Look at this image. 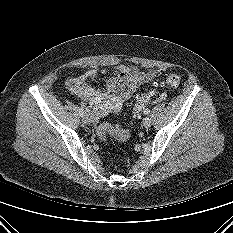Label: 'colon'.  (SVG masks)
Instances as JSON below:
<instances>
[{"instance_id":"1","label":"colon","mask_w":233,"mask_h":233,"mask_svg":"<svg viewBox=\"0 0 233 233\" xmlns=\"http://www.w3.org/2000/svg\"><path fill=\"white\" fill-rule=\"evenodd\" d=\"M181 77L178 74H170L161 82L155 84V88L161 87H176L179 85ZM161 95L155 90H147L144 93L140 94L134 104H133V114L135 117H138L144 107L153 101L161 99ZM97 135L102 140L105 141L108 136L113 137L119 141H126L130 138V132L128 129H121L115 127L109 123H101L97 127Z\"/></svg>"}]
</instances>
